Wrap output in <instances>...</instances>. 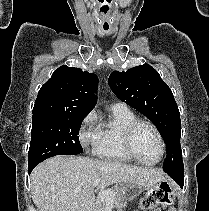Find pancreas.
I'll return each mask as SVG.
<instances>
[{"label": "pancreas", "mask_w": 209, "mask_h": 211, "mask_svg": "<svg viewBox=\"0 0 209 211\" xmlns=\"http://www.w3.org/2000/svg\"><path fill=\"white\" fill-rule=\"evenodd\" d=\"M111 191L115 192V196L113 198V203L117 208V211H124L126 208L125 199L122 196L121 191L118 188H113ZM106 200L101 199L100 197L97 198V211H105L107 206Z\"/></svg>", "instance_id": "cf45deb5"}]
</instances>
